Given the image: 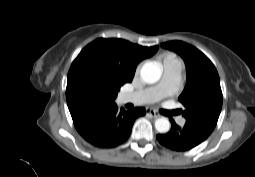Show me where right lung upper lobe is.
<instances>
[{
  "label": "right lung upper lobe",
  "mask_w": 255,
  "mask_h": 177,
  "mask_svg": "<svg viewBox=\"0 0 255 177\" xmlns=\"http://www.w3.org/2000/svg\"><path fill=\"white\" fill-rule=\"evenodd\" d=\"M157 50L158 46L143 47L122 39L99 38L81 52H89L105 60L115 69L117 76L126 83L132 81L138 63L151 57ZM66 98L70 112L87 104H107L90 100L86 93L71 80L67 81Z\"/></svg>",
  "instance_id": "1"
}]
</instances>
